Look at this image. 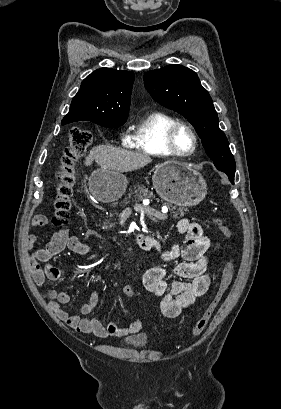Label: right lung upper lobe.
Instances as JSON below:
<instances>
[{"label":"right lung upper lobe","mask_w":281,"mask_h":409,"mask_svg":"<svg viewBox=\"0 0 281 409\" xmlns=\"http://www.w3.org/2000/svg\"><path fill=\"white\" fill-rule=\"evenodd\" d=\"M134 74L101 68L86 77L72 100L62 125L88 120L94 123L126 121Z\"/></svg>","instance_id":"right-lung-upper-lobe-1"}]
</instances>
